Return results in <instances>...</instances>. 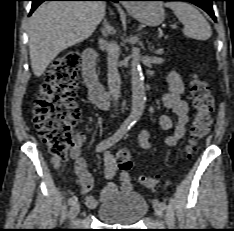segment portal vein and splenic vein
I'll list each match as a JSON object with an SVG mask.
<instances>
[{
  "label": "portal vein and splenic vein",
  "mask_w": 234,
  "mask_h": 231,
  "mask_svg": "<svg viewBox=\"0 0 234 231\" xmlns=\"http://www.w3.org/2000/svg\"><path fill=\"white\" fill-rule=\"evenodd\" d=\"M172 29H176V26H175V25H172Z\"/></svg>",
  "instance_id": "obj_1"
}]
</instances>
